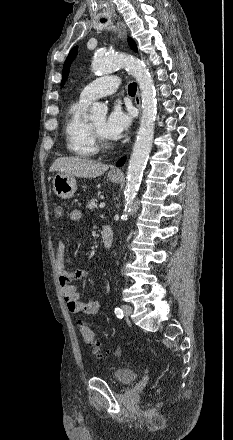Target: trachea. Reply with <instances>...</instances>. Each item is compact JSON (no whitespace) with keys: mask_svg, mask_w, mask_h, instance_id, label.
I'll return each mask as SVG.
<instances>
[{"mask_svg":"<svg viewBox=\"0 0 233 440\" xmlns=\"http://www.w3.org/2000/svg\"><path fill=\"white\" fill-rule=\"evenodd\" d=\"M102 22H105V20H102ZM136 89H137L136 83H131L128 86V93H129V95H135L136 94Z\"/></svg>","mask_w":233,"mask_h":440,"instance_id":"trachea-1","label":"trachea"}]
</instances>
